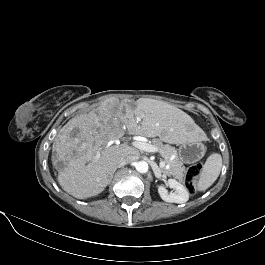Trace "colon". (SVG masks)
I'll use <instances>...</instances> for the list:
<instances>
[{"instance_id": "colon-1", "label": "colon", "mask_w": 265, "mask_h": 265, "mask_svg": "<svg viewBox=\"0 0 265 265\" xmlns=\"http://www.w3.org/2000/svg\"><path fill=\"white\" fill-rule=\"evenodd\" d=\"M201 168V164H195L190 166L186 171L185 183L190 193H194L195 191L196 180L200 174Z\"/></svg>"}]
</instances>
